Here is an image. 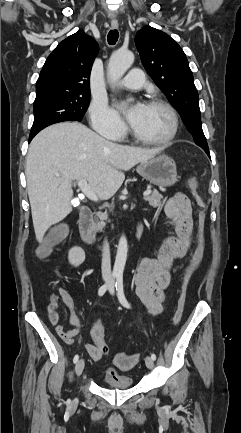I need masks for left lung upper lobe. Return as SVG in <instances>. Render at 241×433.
<instances>
[{
	"label": "left lung upper lobe",
	"mask_w": 241,
	"mask_h": 433,
	"mask_svg": "<svg viewBox=\"0 0 241 433\" xmlns=\"http://www.w3.org/2000/svg\"><path fill=\"white\" fill-rule=\"evenodd\" d=\"M141 61L155 84L177 107L195 143L208 149L193 74L181 47L166 33L150 26L135 37Z\"/></svg>",
	"instance_id": "obj_1"
}]
</instances>
